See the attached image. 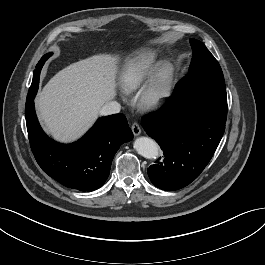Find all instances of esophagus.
I'll return each mask as SVG.
<instances>
[{"instance_id":"obj_1","label":"esophagus","mask_w":265,"mask_h":265,"mask_svg":"<svg viewBox=\"0 0 265 265\" xmlns=\"http://www.w3.org/2000/svg\"><path fill=\"white\" fill-rule=\"evenodd\" d=\"M134 136H139L141 134V128L137 122H134L131 126Z\"/></svg>"}]
</instances>
